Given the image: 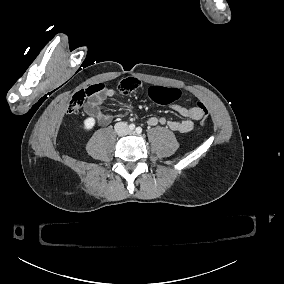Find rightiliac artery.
Here are the masks:
<instances>
[{
	"mask_svg": "<svg viewBox=\"0 0 284 284\" xmlns=\"http://www.w3.org/2000/svg\"><path fill=\"white\" fill-rule=\"evenodd\" d=\"M129 129H130V130H134V129H135V125H134V124H130V125H129Z\"/></svg>",
	"mask_w": 284,
	"mask_h": 284,
	"instance_id": "obj_1",
	"label": "right iliac artery"
}]
</instances>
